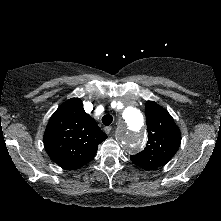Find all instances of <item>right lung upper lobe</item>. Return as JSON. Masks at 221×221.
I'll return each instance as SVG.
<instances>
[{"mask_svg": "<svg viewBox=\"0 0 221 221\" xmlns=\"http://www.w3.org/2000/svg\"><path fill=\"white\" fill-rule=\"evenodd\" d=\"M106 138L95 120L84 111L82 100L71 98L51 116L44 133V146L60 167L74 170L92 160L98 144Z\"/></svg>", "mask_w": 221, "mask_h": 221, "instance_id": "1", "label": "right lung upper lobe"}]
</instances>
